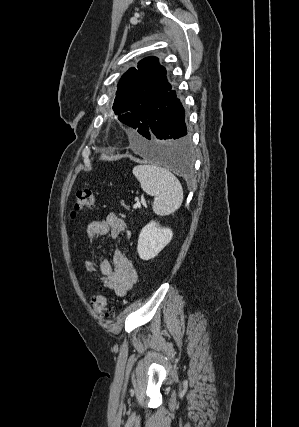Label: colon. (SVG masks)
I'll return each mask as SVG.
<instances>
[{"mask_svg":"<svg viewBox=\"0 0 299 427\" xmlns=\"http://www.w3.org/2000/svg\"><path fill=\"white\" fill-rule=\"evenodd\" d=\"M96 207V197L89 189L80 190L76 194L71 216L75 218L79 213ZM91 305L94 312L101 318L107 320L114 315L113 309L108 306L107 300L102 295H95L91 298Z\"/></svg>","mask_w":299,"mask_h":427,"instance_id":"1","label":"colon"}]
</instances>
